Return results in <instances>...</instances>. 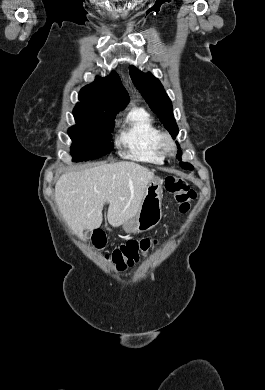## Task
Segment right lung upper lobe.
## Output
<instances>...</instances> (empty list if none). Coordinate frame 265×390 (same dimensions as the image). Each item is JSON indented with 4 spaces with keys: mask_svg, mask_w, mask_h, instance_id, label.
Instances as JSON below:
<instances>
[{
    "mask_svg": "<svg viewBox=\"0 0 265 390\" xmlns=\"http://www.w3.org/2000/svg\"><path fill=\"white\" fill-rule=\"evenodd\" d=\"M75 108H87L116 115L129 103V95L122 86L115 71L105 77H96L95 81L84 86L79 93Z\"/></svg>",
    "mask_w": 265,
    "mask_h": 390,
    "instance_id": "cb5924a9",
    "label": "right lung upper lobe"
}]
</instances>
